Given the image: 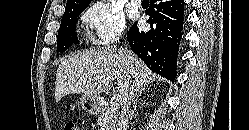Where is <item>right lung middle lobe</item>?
<instances>
[{"label":"right lung middle lobe","instance_id":"right-lung-middle-lobe-1","mask_svg":"<svg viewBox=\"0 0 249 130\" xmlns=\"http://www.w3.org/2000/svg\"><path fill=\"white\" fill-rule=\"evenodd\" d=\"M86 7L66 6L57 37V50L64 52L73 44H78L75 26L78 16Z\"/></svg>","mask_w":249,"mask_h":130}]
</instances>
